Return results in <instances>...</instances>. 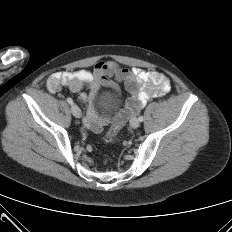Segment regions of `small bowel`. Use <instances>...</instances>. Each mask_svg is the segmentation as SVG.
<instances>
[{
	"label": "small bowel",
	"instance_id": "1",
	"mask_svg": "<svg viewBox=\"0 0 232 232\" xmlns=\"http://www.w3.org/2000/svg\"><path fill=\"white\" fill-rule=\"evenodd\" d=\"M116 82L124 83L130 95L125 108L116 118L120 124L136 115L150 99L164 96L171 88L169 78L160 72L127 68L112 61H100L92 70L56 72L48 79L47 87L51 92L68 88L77 94L78 99L88 107L84 125L94 132H99L109 120L108 115L99 117L96 110L100 88L105 86L116 96ZM86 90H89V93H86Z\"/></svg>",
	"mask_w": 232,
	"mask_h": 232
}]
</instances>
